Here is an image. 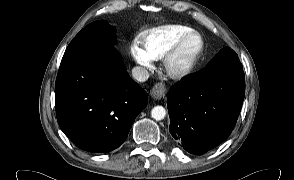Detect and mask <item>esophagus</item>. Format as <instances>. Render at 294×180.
Here are the masks:
<instances>
[{"label":"esophagus","instance_id":"1","mask_svg":"<svg viewBox=\"0 0 294 180\" xmlns=\"http://www.w3.org/2000/svg\"><path fill=\"white\" fill-rule=\"evenodd\" d=\"M166 87L163 83L158 82L156 83L152 89L150 90V95L154 98V99H162L165 97L166 94Z\"/></svg>","mask_w":294,"mask_h":180}]
</instances>
